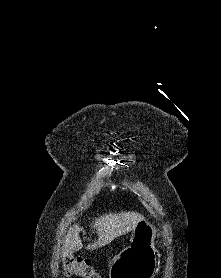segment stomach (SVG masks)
<instances>
[{
	"label": "stomach",
	"instance_id": "obj_1",
	"mask_svg": "<svg viewBox=\"0 0 221 278\" xmlns=\"http://www.w3.org/2000/svg\"><path fill=\"white\" fill-rule=\"evenodd\" d=\"M156 229L147 220L138 222L131 234L127 251L116 254L114 261L107 264L111 278H150L155 274Z\"/></svg>",
	"mask_w": 221,
	"mask_h": 278
}]
</instances>
